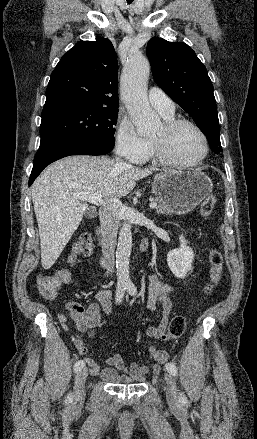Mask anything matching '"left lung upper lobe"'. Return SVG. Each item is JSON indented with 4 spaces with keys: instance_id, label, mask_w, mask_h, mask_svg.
Instances as JSON below:
<instances>
[{
    "instance_id": "left-lung-upper-lobe-1",
    "label": "left lung upper lobe",
    "mask_w": 257,
    "mask_h": 439,
    "mask_svg": "<svg viewBox=\"0 0 257 439\" xmlns=\"http://www.w3.org/2000/svg\"><path fill=\"white\" fill-rule=\"evenodd\" d=\"M146 54L157 85L192 116L215 153L222 152L213 85L195 52L185 43L153 37Z\"/></svg>"
}]
</instances>
